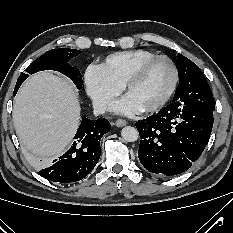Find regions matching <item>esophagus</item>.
I'll use <instances>...</instances> for the list:
<instances>
[{"label": "esophagus", "mask_w": 233, "mask_h": 233, "mask_svg": "<svg viewBox=\"0 0 233 233\" xmlns=\"http://www.w3.org/2000/svg\"><path fill=\"white\" fill-rule=\"evenodd\" d=\"M115 125L117 127H123V126L127 125V122L123 119H118V120H116Z\"/></svg>", "instance_id": "1"}]
</instances>
